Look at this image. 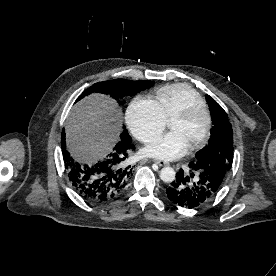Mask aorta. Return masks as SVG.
<instances>
[{"label": "aorta", "mask_w": 276, "mask_h": 276, "mask_svg": "<svg viewBox=\"0 0 276 276\" xmlns=\"http://www.w3.org/2000/svg\"><path fill=\"white\" fill-rule=\"evenodd\" d=\"M176 173L171 167H164L160 171V179L165 183H171L175 180Z\"/></svg>", "instance_id": "aorta-1"}]
</instances>
